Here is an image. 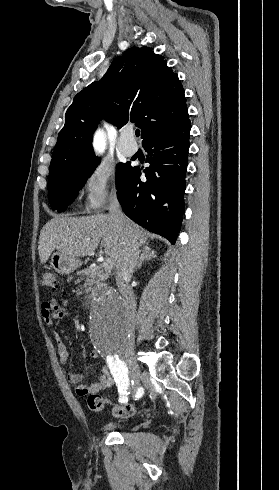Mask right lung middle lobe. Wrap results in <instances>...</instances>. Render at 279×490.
Segmentation results:
<instances>
[{
    "instance_id": "obj_1",
    "label": "right lung middle lobe",
    "mask_w": 279,
    "mask_h": 490,
    "mask_svg": "<svg viewBox=\"0 0 279 490\" xmlns=\"http://www.w3.org/2000/svg\"><path fill=\"white\" fill-rule=\"evenodd\" d=\"M99 158L66 169L48 180L49 202L53 210L62 212L72 202L82 188L86 179L95 170ZM119 172L116 174L117 188L122 184L127 172L131 169L128 163H119Z\"/></svg>"
}]
</instances>
